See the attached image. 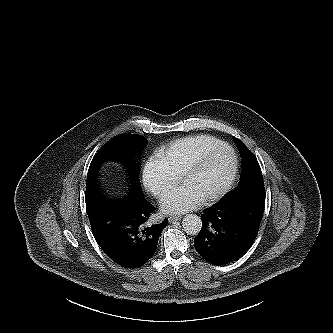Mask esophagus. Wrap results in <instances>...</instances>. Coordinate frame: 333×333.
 Segmentation results:
<instances>
[{
	"label": "esophagus",
	"mask_w": 333,
	"mask_h": 333,
	"mask_svg": "<svg viewBox=\"0 0 333 333\" xmlns=\"http://www.w3.org/2000/svg\"><path fill=\"white\" fill-rule=\"evenodd\" d=\"M181 220V216H170L169 217V222L173 223L174 221H179Z\"/></svg>",
	"instance_id": "34e87169"
}]
</instances>
